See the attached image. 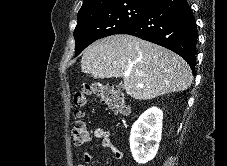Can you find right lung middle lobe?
I'll return each instance as SVG.
<instances>
[{"label":"right lung middle lobe","mask_w":227,"mask_h":166,"mask_svg":"<svg viewBox=\"0 0 227 166\" xmlns=\"http://www.w3.org/2000/svg\"><path fill=\"white\" fill-rule=\"evenodd\" d=\"M151 7L132 2L78 14L77 26L74 30L75 55L78 56L87 46L98 39L118 34L142 18Z\"/></svg>","instance_id":"right-lung-middle-lobe-1"}]
</instances>
